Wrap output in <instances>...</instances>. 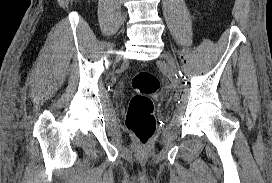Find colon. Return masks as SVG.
<instances>
[{
    "instance_id": "5ec220e1",
    "label": "colon",
    "mask_w": 272,
    "mask_h": 183,
    "mask_svg": "<svg viewBox=\"0 0 272 183\" xmlns=\"http://www.w3.org/2000/svg\"><path fill=\"white\" fill-rule=\"evenodd\" d=\"M135 94L130 99L125 124L130 134L140 146H146L156 129L154 96L159 88L158 77L150 71H139L132 78Z\"/></svg>"
}]
</instances>
